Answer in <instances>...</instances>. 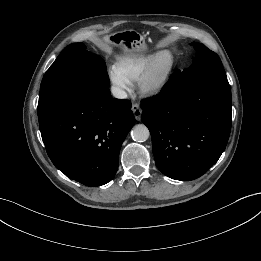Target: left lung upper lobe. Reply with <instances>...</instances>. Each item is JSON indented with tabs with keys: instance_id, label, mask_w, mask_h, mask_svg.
Wrapping results in <instances>:
<instances>
[{
	"instance_id": "1",
	"label": "left lung upper lobe",
	"mask_w": 261,
	"mask_h": 261,
	"mask_svg": "<svg viewBox=\"0 0 261 261\" xmlns=\"http://www.w3.org/2000/svg\"><path fill=\"white\" fill-rule=\"evenodd\" d=\"M191 45L196 50V57L194 58L192 65L182 72L180 80L181 91H184L199 75L206 73L225 74L221 60L216 53L197 42H192Z\"/></svg>"
}]
</instances>
